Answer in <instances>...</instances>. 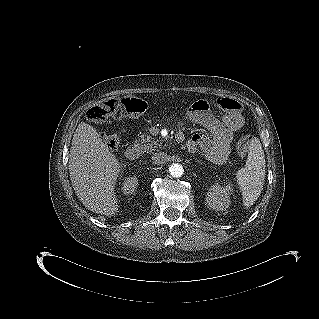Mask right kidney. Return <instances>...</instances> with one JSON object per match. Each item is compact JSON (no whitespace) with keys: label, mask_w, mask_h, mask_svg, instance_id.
<instances>
[{"label":"right kidney","mask_w":319,"mask_h":319,"mask_svg":"<svg viewBox=\"0 0 319 319\" xmlns=\"http://www.w3.org/2000/svg\"><path fill=\"white\" fill-rule=\"evenodd\" d=\"M134 188H135V186L133 185L132 187H131V189H130V193H133L134 192Z\"/></svg>","instance_id":"1"}]
</instances>
